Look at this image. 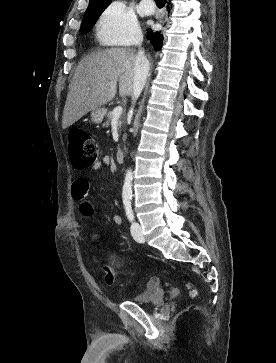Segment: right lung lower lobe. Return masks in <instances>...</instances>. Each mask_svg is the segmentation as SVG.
Instances as JSON below:
<instances>
[{
    "label": "right lung lower lobe",
    "instance_id": "1",
    "mask_svg": "<svg viewBox=\"0 0 276 363\" xmlns=\"http://www.w3.org/2000/svg\"><path fill=\"white\" fill-rule=\"evenodd\" d=\"M169 11V6H168ZM147 38L150 40L151 44L154 46L156 51H159L163 45L164 34L162 32H154L149 30L147 32Z\"/></svg>",
    "mask_w": 276,
    "mask_h": 363
}]
</instances>
